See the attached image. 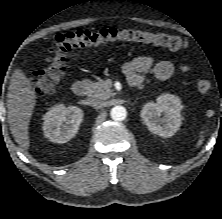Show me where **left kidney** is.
Masks as SVG:
<instances>
[{
  "label": "left kidney",
  "instance_id": "5707ae66",
  "mask_svg": "<svg viewBox=\"0 0 222 219\" xmlns=\"http://www.w3.org/2000/svg\"><path fill=\"white\" fill-rule=\"evenodd\" d=\"M181 109L182 103L177 96L162 94L156 103L145 104L140 115L150 132L161 137H171L181 126ZM161 114H164L162 118Z\"/></svg>",
  "mask_w": 222,
  "mask_h": 219
}]
</instances>
